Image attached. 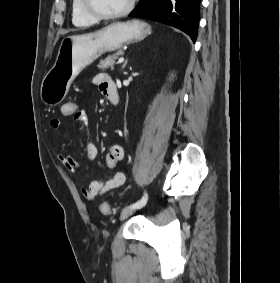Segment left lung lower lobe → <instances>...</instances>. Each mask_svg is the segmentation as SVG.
<instances>
[{
	"label": "left lung lower lobe",
	"instance_id": "0a47b994",
	"mask_svg": "<svg viewBox=\"0 0 280 283\" xmlns=\"http://www.w3.org/2000/svg\"><path fill=\"white\" fill-rule=\"evenodd\" d=\"M201 0H140L130 17L154 20L176 27L195 42Z\"/></svg>",
	"mask_w": 280,
	"mask_h": 283
}]
</instances>
